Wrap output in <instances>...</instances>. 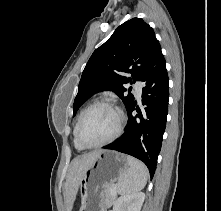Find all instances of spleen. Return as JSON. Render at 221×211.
<instances>
[{"label":"spleen","instance_id":"obj_1","mask_svg":"<svg viewBox=\"0 0 221 211\" xmlns=\"http://www.w3.org/2000/svg\"><path fill=\"white\" fill-rule=\"evenodd\" d=\"M129 169L123 173L117 184V191L121 195H129L142 190L148 178L147 167L139 160L127 156Z\"/></svg>","mask_w":221,"mask_h":211}]
</instances>
